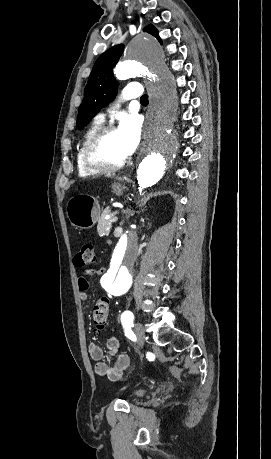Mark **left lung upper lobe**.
Masks as SVG:
<instances>
[{
	"label": "left lung upper lobe",
	"mask_w": 271,
	"mask_h": 459,
	"mask_svg": "<svg viewBox=\"0 0 271 459\" xmlns=\"http://www.w3.org/2000/svg\"><path fill=\"white\" fill-rule=\"evenodd\" d=\"M144 31L155 36L160 43L157 29L149 24ZM124 45L114 46L96 60L84 90V99L79 107L77 127L83 128L116 95L118 83L113 76V68L118 62Z\"/></svg>",
	"instance_id": "1"
}]
</instances>
